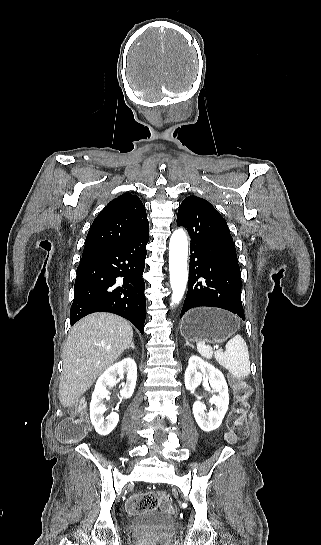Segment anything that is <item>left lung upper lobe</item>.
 <instances>
[{
  "label": "left lung upper lobe",
  "mask_w": 321,
  "mask_h": 545,
  "mask_svg": "<svg viewBox=\"0 0 321 545\" xmlns=\"http://www.w3.org/2000/svg\"><path fill=\"white\" fill-rule=\"evenodd\" d=\"M200 203L205 204V203H209V202L202 199V198H199L197 196H189V197L184 199V201L181 203L180 207L188 206V205H191V204H200Z\"/></svg>",
  "instance_id": "obj_1"
}]
</instances>
